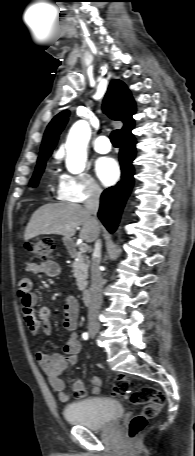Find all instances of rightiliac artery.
Wrapping results in <instances>:
<instances>
[{"label":"right iliac artery","instance_id":"right-iliac-artery-1","mask_svg":"<svg viewBox=\"0 0 195 456\" xmlns=\"http://www.w3.org/2000/svg\"><path fill=\"white\" fill-rule=\"evenodd\" d=\"M82 338H83L84 340H87V339L89 338V334H88L87 332H84V333L82 334Z\"/></svg>","mask_w":195,"mask_h":456}]
</instances>
